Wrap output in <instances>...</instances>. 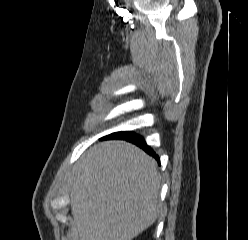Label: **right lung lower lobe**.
I'll return each mask as SVG.
<instances>
[{
	"label": "right lung lower lobe",
	"instance_id": "1",
	"mask_svg": "<svg viewBox=\"0 0 248 240\" xmlns=\"http://www.w3.org/2000/svg\"><path fill=\"white\" fill-rule=\"evenodd\" d=\"M102 139H123L129 142H132L142 148L145 152L153 156L158 162L159 157L156 155V153L145 143V140L133 132L125 131V132H116L112 133L108 136L103 137Z\"/></svg>",
	"mask_w": 248,
	"mask_h": 240
}]
</instances>
